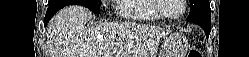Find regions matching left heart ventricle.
I'll list each match as a JSON object with an SVG mask.
<instances>
[{"instance_id": "b2bd125f", "label": "left heart ventricle", "mask_w": 249, "mask_h": 57, "mask_svg": "<svg viewBox=\"0 0 249 57\" xmlns=\"http://www.w3.org/2000/svg\"><path fill=\"white\" fill-rule=\"evenodd\" d=\"M182 9L180 0H164L162 11L167 15H176Z\"/></svg>"}]
</instances>
